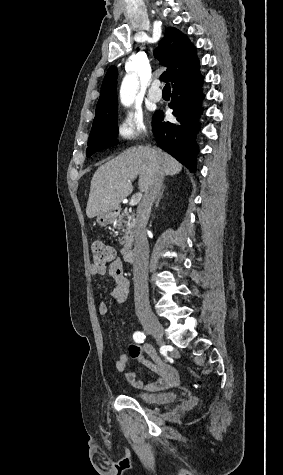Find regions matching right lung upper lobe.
<instances>
[{"instance_id":"right-lung-upper-lobe-1","label":"right lung upper lobe","mask_w":283,"mask_h":475,"mask_svg":"<svg viewBox=\"0 0 283 475\" xmlns=\"http://www.w3.org/2000/svg\"><path fill=\"white\" fill-rule=\"evenodd\" d=\"M154 56L163 66L168 67L161 77L171 81L172 84L180 77L199 68L196 48L186 35L174 27L166 29L164 38L154 50ZM117 75L115 66L107 70L97 107L117 105Z\"/></svg>"}]
</instances>
